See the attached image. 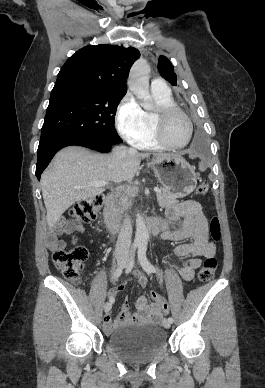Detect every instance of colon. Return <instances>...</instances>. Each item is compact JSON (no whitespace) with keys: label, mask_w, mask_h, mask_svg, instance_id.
Segmentation results:
<instances>
[{"label":"colon","mask_w":265,"mask_h":388,"mask_svg":"<svg viewBox=\"0 0 265 388\" xmlns=\"http://www.w3.org/2000/svg\"><path fill=\"white\" fill-rule=\"evenodd\" d=\"M208 191V186L205 183H200L196 193L198 196H205ZM103 199L100 196H95L82 201H79L71 208V215L81 223H87L97 217L101 209ZM210 233L213 240L218 241L221 237V225L217 217H213L210 222ZM76 242L77 238H73ZM87 250L83 246H76L70 250L57 249L53 254L55 266L61 271L65 278L74 284H79L82 279V269L87 258ZM217 260L215 257H207L199 271V279L203 282L211 281L216 273ZM150 298L161 308L163 314L169 313L167 302L161 298L156 292L149 293Z\"/></svg>","instance_id":"5ec220e1"}]
</instances>
